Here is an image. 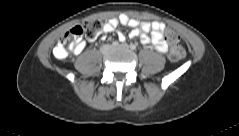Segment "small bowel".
I'll return each mask as SVG.
<instances>
[{
    "instance_id": "obj_1",
    "label": "small bowel",
    "mask_w": 239,
    "mask_h": 136,
    "mask_svg": "<svg viewBox=\"0 0 239 136\" xmlns=\"http://www.w3.org/2000/svg\"><path fill=\"white\" fill-rule=\"evenodd\" d=\"M118 25H125L131 28V31L126 35L123 32H118V39L125 41L126 38H139L142 44L152 46L156 51L165 53L168 50V43L164 38L166 25L162 22L154 21L152 23L139 22L129 18L127 15H120L118 18H113L106 22L102 27L103 33L113 32ZM150 32V36L148 33ZM83 45H79L77 50L80 51Z\"/></svg>"
}]
</instances>
